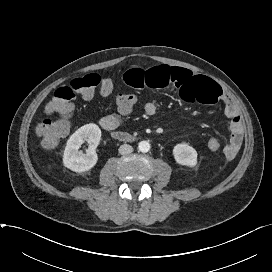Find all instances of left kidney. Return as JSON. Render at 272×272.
<instances>
[{
	"label": "left kidney",
	"instance_id": "5707ae66",
	"mask_svg": "<svg viewBox=\"0 0 272 272\" xmlns=\"http://www.w3.org/2000/svg\"><path fill=\"white\" fill-rule=\"evenodd\" d=\"M173 155L178 164L194 167L197 164V152L187 143H179L173 148Z\"/></svg>",
	"mask_w": 272,
	"mask_h": 272
}]
</instances>
